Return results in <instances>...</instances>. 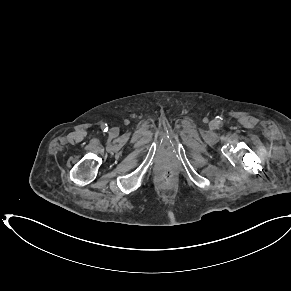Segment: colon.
I'll return each instance as SVG.
<instances>
[{"instance_id": "1", "label": "colon", "mask_w": 291, "mask_h": 291, "mask_svg": "<svg viewBox=\"0 0 291 291\" xmlns=\"http://www.w3.org/2000/svg\"><path fill=\"white\" fill-rule=\"evenodd\" d=\"M172 172L169 169H165L162 173H161V179L165 182L170 181L172 179Z\"/></svg>"}]
</instances>
